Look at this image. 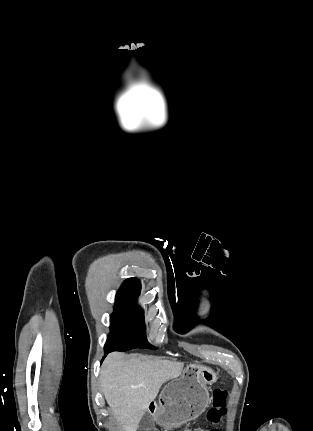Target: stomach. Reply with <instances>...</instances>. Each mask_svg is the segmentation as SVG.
<instances>
[{
    "instance_id": "obj_1",
    "label": "stomach",
    "mask_w": 313,
    "mask_h": 431,
    "mask_svg": "<svg viewBox=\"0 0 313 431\" xmlns=\"http://www.w3.org/2000/svg\"><path fill=\"white\" fill-rule=\"evenodd\" d=\"M217 381L216 373L204 366L188 365L180 378L171 380L159 396L154 418L163 427H177L200 416L209 404L207 385Z\"/></svg>"
}]
</instances>
